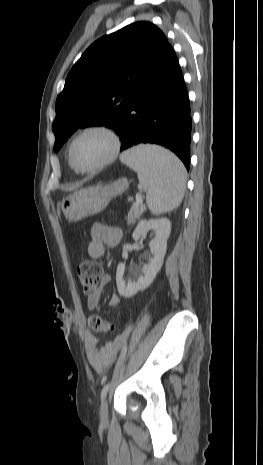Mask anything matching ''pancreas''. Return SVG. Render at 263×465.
I'll use <instances>...</instances> for the list:
<instances>
[{"instance_id":"1","label":"pancreas","mask_w":263,"mask_h":465,"mask_svg":"<svg viewBox=\"0 0 263 465\" xmlns=\"http://www.w3.org/2000/svg\"><path fill=\"white\" fill-rule=\"evenodd\" d=\"M145 210V206L143 204L140 205H133L130 209L127 217V224H133L136 220L140 218Z\"/></svg>"}]
</instances>
